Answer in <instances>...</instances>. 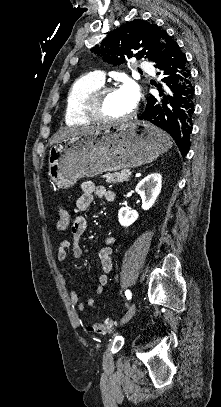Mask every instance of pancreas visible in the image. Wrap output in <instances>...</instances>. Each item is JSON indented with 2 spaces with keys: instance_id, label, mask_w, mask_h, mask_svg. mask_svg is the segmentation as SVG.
<instances>
[{
  "instance_id": "1",
  "label": "pancreas",
  "mask_w": 221,
  "mask_h": 407,
  "mask_svg": "<svg viewBox=\"0 0 221 407\" xmlns=\"http://www.w3.org/2000/svg\"><path fill=\"white\" fill-rule=\"evenodd\" d=\"M129 172L128 169H123L120 172L107 173L103 177L106 178L108 183H122L129 180Z\"/></svg>"
}]
</instances>
